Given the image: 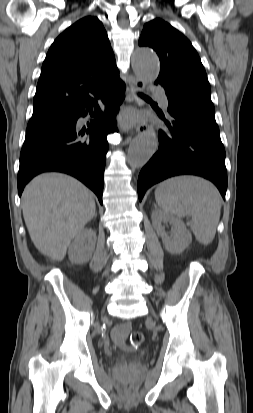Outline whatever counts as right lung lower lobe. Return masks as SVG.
Masks as SVG:
<instances>
[{"mask_svg": "<svg viewBox=\"0 0 253 413\" xmlns=\"http://www.w3.org/2000/svg\"><path fill=\"white\" fill-rule=\"evenodd\" d=\"M124 90L125 84L118 73L96 97L105 105L104 112L92 98L73 106L56 125L25 137L17 177L19 196L37 174L59 171L82 181L102 203L103 174L109 148L107 135L116 130L115 117L124 99ZM93 107H96L94 111ZM88 112L94 120L85 131L77 127V120Z\"/></svg>", "mask_w": 253, "mask_h": 413, "instance_id": "right-lung-lower-lobe-1", "label": "right lung lower lobe"}]
</instances>
